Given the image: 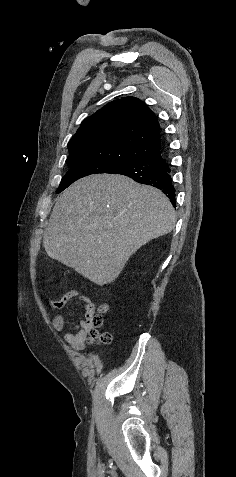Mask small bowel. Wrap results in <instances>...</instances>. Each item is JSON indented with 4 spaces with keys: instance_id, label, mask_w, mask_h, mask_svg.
I'll return each mask as SVG.
<instances>
[{
    "instance_id": "small-bowel-1",
    "label": "small bowel",
    "mask_w": 236,
    "mask_h": 477,
    "mask_svg": "<svg viewBox=\"0 0 236 477\" xmlns=\"http://www.w3.org/2000/svg\"><path fill=\"white\" fill-rule=\"evenodd\" d=\"M76 297H78L79 301L83 304L84 315L79 322L69 320V324L76 330V333H66L64 339L73 348L81 350L85 347V342L91 329L90 319L96 313L95 303L87 296L79 295L77 290H70L61 298L52 301L51 305L54 309L60 310L66 307L67 304ZM63 326L64 317L61 314H57L54 318V328L57 331H61Z\"/></svg>"
}]
</instances>
